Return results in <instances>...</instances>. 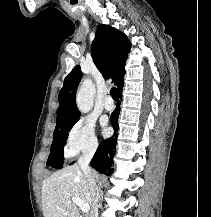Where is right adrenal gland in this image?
<instances>
[{"label": "right adrenal gland", "instance_id": "2a0ac1e0", "mask_svg": "<svg viewBox=\"0 0 211 217\" xmlns=\"http://www.w3.org/2000/svg\"><path fill=\"white\" fill-rule=\"evenodd\" d=\"M99 193H100V196L102 197L103 196V193H102V191H101V187L99 188Z\"/></svg>", "mask_w": 211, "mask_h": 217}]
</instances>
